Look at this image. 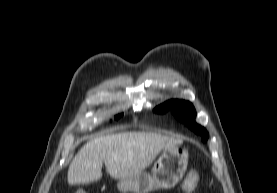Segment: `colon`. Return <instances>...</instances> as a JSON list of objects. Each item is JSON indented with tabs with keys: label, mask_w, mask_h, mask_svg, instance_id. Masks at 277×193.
Listing matches in <instances>:
<instances>
[{
	"label": "colon",
	"mask_w": 277,
	"mask_h": 193,
	"mask_svg": "<svg viewBox=\"0 0 277 193\" xmlns=\"http://www.w3.org/2000/svg\"><path fill=\"white\" fill-rule=\"evenodd\" d=\"M199 182V174L197 171H190L184 180L180 193H192ZM75 193H88L85 190H78Z\"/></svg>",
	"instance_id": "5ec220e1"
}]
</instances>
